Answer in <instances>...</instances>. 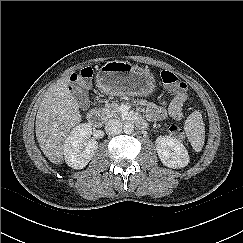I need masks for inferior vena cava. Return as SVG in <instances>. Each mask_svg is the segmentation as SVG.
Masks as SVG:
<instances>
[{"label": "inferior vena cava", "mask_w": 243, "mask_h": 243, "mask_svg": "<svg viewBox=\"0 0 243 243\" xmlns=\"http://www.w3.org/2000/svg\"><path fill=\"white\" fill-rule=\"evenodd\" d=\"M105 131L108 135H118L122 131V123L118 119H110L106 122Z\"/></svg>", "instance_id": "obj_1"}]
</instances>
